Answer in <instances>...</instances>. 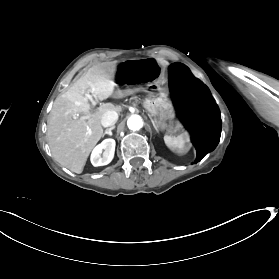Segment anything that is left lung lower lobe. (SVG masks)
<instances>
[{
    "instance_id": "obj_1",
    "label": "left lung lower lobe",
    "mask_w": 279,
    "mask_h": 279,
    "mask_svg": "<svg viewBox=\"0 0 279 279\" xmlns=\"http://www.w3.org/2000/svg\"><path fill=\"white\" fill-rule=\"evenodd\" d=\"M168 80L174 105L196 132L197 163L219 143V109L207 87L197 80L185 65H170Z\"/></svg>"
}]
</instances>
